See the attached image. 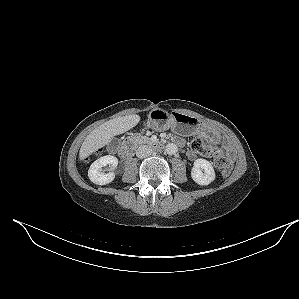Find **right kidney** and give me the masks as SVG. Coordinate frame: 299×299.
I'll use <instances>...</instances> for the list:
<instances>
[{
	"instance_id": "right-kidney-1",
	"label": "right kidney",
	"mask_w": 299,
	"mask_h": 299,
	"mask_svg": "<svg viewBox=\"0 0 299 299\" xmlns=\"http://www.w3.org/2000/svg\"><path fill=\"white\" fill-rule=\"evenodd\" d=\"M109 165V173H103L102 167ZM118 165V159L112 155L103 156L96 161H94L88 171L89 179L96 185H106L112 182L115 178V173L113 172Z\"/></svg>"
}]
</instances>
